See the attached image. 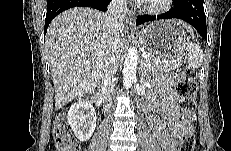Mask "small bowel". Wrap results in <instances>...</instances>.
I'll return each mask as SVG.
<instances>
[{
  "label": "small bowel",
  "instance_id": "small-bowel-1",
  "mask_svg": "<svg viewBox=\"0 0 231 151\" xmlns=\"http://www.w3.org/2000/svg\"><path fill=\"white\" fill-rule=\"evenodd\" d=\"M176 76L168 75L157 81L154 92L145 106L153 135L163 151H176L178 140L187 133H194L195 128L189 120L179 117L177 95L174 92Z\"/></svg>",
  "mask_w": 231,
  "mask_h": 151
}]
</instances>
